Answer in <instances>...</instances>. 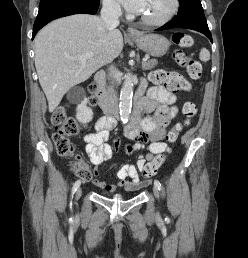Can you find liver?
I'll use <instances>...</instances> for the list:
<instances>
[{
	"mask_svg": "<svg viewBox=\"0 0 248 258\" xmlns=\"http://www.w3.org/2000/svg\"><path fill=\"white\" fill-rule=\"evenodd\" d=\"M123 49L119 30H107L101 18L77 14L57 19L35 37V67L49 112L67 91L86 81ZM90 54L85 62L70 57Z\"/></svg>",
	"mask_w": 248,
	"mask_h": 258,
	"instance_id": "liver-1",
	"label": "liver"
}]
</instances>
